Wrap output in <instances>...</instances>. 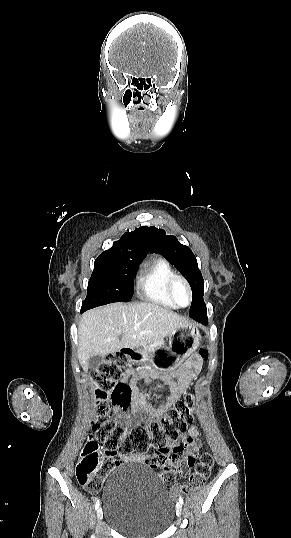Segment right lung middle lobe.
Returning <instances> with one entry per match:
<instances>
[{
	"label": "right lung middle lobe",
	"mask_w": 291,
	"mask_h": 538,
	"mask_svg": "<svg viewBox=\"0 0 291 538\" xmlns=\"http://www.w3.org/2000/svg\"><path fill=\"white\" fill-rule=\"evenodd\" d=\"M143 259L98 257L89 279L81 312L113 303L129 302L134 292L133 278Z\"/></svg>",
	"instance_id": "dd1d6c3e"
}]
</instances>
